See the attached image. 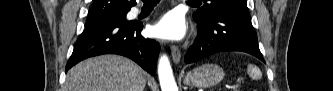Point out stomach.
<instances>
[{
  "instance_id": "0dacf381",
  "label": "stomach",
  "mask_w": 333,
  "mask_h": 91,
  "mask_svg": "<svg viewBox=\"0 0 333 91\" xmlns=\"http://www.w3.org/2000/svg\"><path fill=\"white\" fill-rule=\"evenodd\" d=\"M224 75V71L219 66L202 64L185 76L184 83L192 87L208 88L219 84Z\"/></svg>"
}]
</instances>
